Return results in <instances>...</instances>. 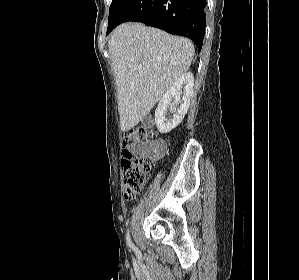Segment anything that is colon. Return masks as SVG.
I'll return each mask as SVG.
<instances>
[{
  "mask_svg": "<svg viewBox=\"0 0 299 280\" xmlns=\"http://www.w3.org/2000/svg\"><path fill=\"white\" fill-rule=\"evenodd\" d=\"M148 135L149 132L145 127H135L124 133L122 178L126 200H132L140 194L151 170L154 157L134 152V148L146 144Z\"/></svg>",
  "mask_w": 299,
  "mask_h": 280,
  "instance_id": "colon-1",
  "label": "colon"
}]
</instances>
